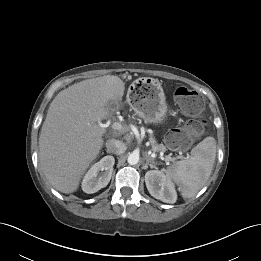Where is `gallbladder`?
<instances>
[{
  "instance_id": "gallbladder-1",
  "label": "gallbladder",
  "mask_w": 261,
  "mask_h": 261,
  "mask_svg": "<svg viewBox=\"0 0 261 261\" xmlns=\"http://www.w3.org/2000/svg\"><path fill=\"white\" fill-rule=\"evenodd\" d=\"M115 107H116V103L114 101L108 102V104H107V108L108 109H113Z\"/></svg>"
}]
</instances>
